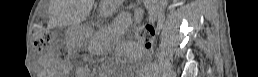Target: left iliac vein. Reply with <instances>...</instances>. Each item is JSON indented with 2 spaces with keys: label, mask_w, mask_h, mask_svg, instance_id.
Here are the masks:
<instances>
[{
  "label": "left iliac vein",
  "mask_w": 258,
  "mask_h": 77,
  "mask_svg": "<svg viewBox=\"0 0 258 77\" xmlns=\"http://www.w3.org/2000/svg\"><path fill=\"white\" fill-rule=\"evenodd\" d=\"M175 76V72L174 71H169L168 72V77H174Z\"/></svg>",
  "instance_id": "obj_1"
}]
</instances>
